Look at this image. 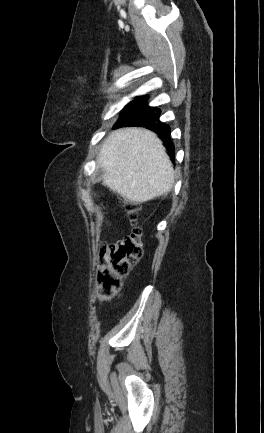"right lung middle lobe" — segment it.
<instances>
[{
	"instance_id": "1",
	"label": "right lung middle lobe",
	"mask_w": 264,
	"mask_h": 433,
	"mask_svg": "<svg viewBox=\"0 0 264 433\" xmlns=\"http://www.w3.org/2000/svg\"><path fill=\"white\" fill-rule=\"evenodd\" d=\"M138 100L139 97L136 98L134 101L130 102L122 111L121 113V117L123 118H127L129 116H132V114H134L140 107L138 106ZM120 120V119H119Z\"/></svg>"
}]
</instances>
